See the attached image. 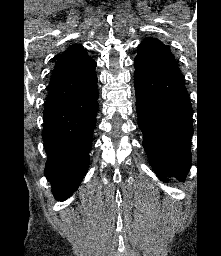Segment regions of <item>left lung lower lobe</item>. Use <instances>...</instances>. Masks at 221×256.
I'll list each match as a JSON object with an SVG mask.
<instances>
[{
	"label": "left lung lower lobe",
	"mask_w": 221,
	"mask_h": 256,
	"mask_svg": "<svg viewBox=\"0 0 221 256\" xmlns=\"http://www.w3.org/2000/svg\"><path fill=\"white\" fill-rule=\"evenodd\" d=\"M143 147L161 178L185 179L193 134L192 108L181 72H134Z\"/></svg>",
	"instance_id": "obj_1"
}]
</instances>
